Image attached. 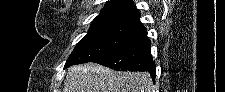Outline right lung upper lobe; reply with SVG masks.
Instances as JSON below:
<instances>
[{"mask_svg": "<svg viewBox=\"0 0 225 92\" xmlns=\"http://www.w3.org/2000/svg\"><path fill=\"white\" fill-rule=\"evenodd\" d=\"M140 12L132 0H110L95 17L92 24L114 23L142 30L146 27L140 22Z\"/></svg>", "mask_w": 225, "mask_h": 92, "instance_id": "1", "label": "right lung upper lobe"}]
</instances>
